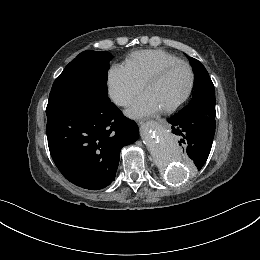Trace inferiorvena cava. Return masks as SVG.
I'll return each instance as SVG.
<instances>
[{
  "instance_id": "1",
  "label": "inferior vena cava",
  "mask_w": 260,
  "mask_h": 260,
  "mask_svg": "<svg viewBox=\"0 0 260 260\" xmlns=\"http://www.w3.org/2000/svg\"><path fill=\"white\" fill-rule=\"evenodd\" d=\"M127 101H128V99L123 96H119L115 99V103L120 106L125 105L127 103Z\"/></svg>"
}]
</instances>
